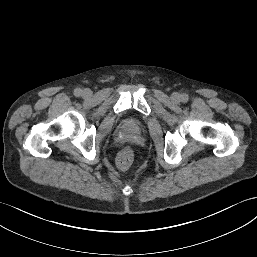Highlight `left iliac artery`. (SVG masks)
<instances>
[{"label": "left iliac artery", "mask_w": 257, "mask_h": 257, "mask_svg": "<svg viewBox=\"0 0 257 257\" xmlns=\"http://www.w3.org/2000/svg\"><path fill=\"white\" fill-rule=\"evenodd\" d=\"M188 99H189V97H188L187 94H182V95H181V100H182V102H187Z\"/></svg>", "instance_id": "obj_1"}]
</instances>
